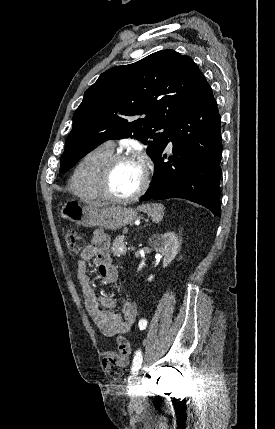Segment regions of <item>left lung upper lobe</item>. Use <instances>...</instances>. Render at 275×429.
Here are the masks:
<instances>
[{
	"label": "left lung upper lobe",
	"instance_id": "1",
	"mask_svg": "<svg viewBox=\"0 0 275 429\" xmlns=\"http://www.w3.org/2000/svg\"><path fill=\"white\" fill-rule=\"evenodd\" d=\"M200 75L190 57L174 50L158 51L102 73L74 113L60 172H67L111 139L136 138L154 160L189 103Z\"/></svg>",
	"mask_w": 275,
	"mask_h": 429
}]
</instances>
